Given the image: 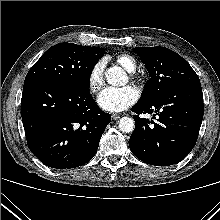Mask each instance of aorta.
Listing matches in <instances>:
<instances>
[{
    "label": "aorta",
    "mask_w": 220,
    "mask_h": 220,
    "mask_svg": "<svg viewBox=\"0 0 220 220\" xmlns=\"http://www.w3.org/2000/svg\"><path fill=\"white\" fill-rule=\"evenodd\" d=\"M107 83L112 86H121L126 83V76L121 67L113 66L105 72ZM119 129L123 133H130L135 128V122L130 117H122L119 121Z\"/></svg>",
    "instance_id": "aorta-1"
}]
</instances>
